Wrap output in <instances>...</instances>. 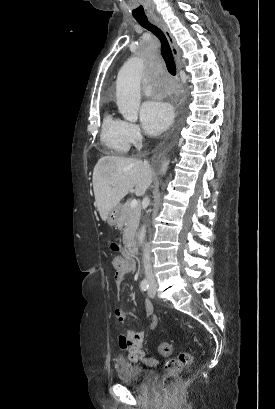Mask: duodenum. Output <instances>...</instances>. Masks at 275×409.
<instances>
[{
	"label": "duodenum",
	"mask_w": 275,
	"mask_h": 409,
	"mask_svg": "<svg viewBox=\"0 0 275 409\" xmlns=\"http://www.w3.org/2000/svg\"><path fill=\"white\" fill-rule=\"evenodd\" d=\"M127 250H128V253H129L130 255H132V256H134V255L137 254L138 248H137L136 243H135L133 240L128 241V243H127Z\"/></svg>",
	"instance_id": "410a0bca"
}]
</instances>
